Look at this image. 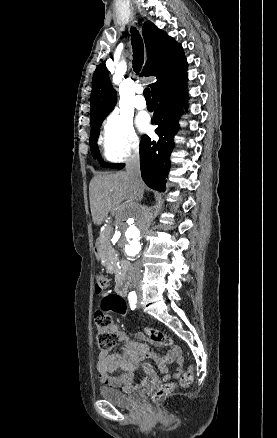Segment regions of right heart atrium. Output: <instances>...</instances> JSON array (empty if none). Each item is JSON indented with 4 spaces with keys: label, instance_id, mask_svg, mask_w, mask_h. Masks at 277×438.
Here are the masks:
<instances>
[{
    "label": "right heart atrium",
    "instance_id": "right-heart-atrium-1",
    "mask_svg": "<svg viewBox=\"0 0 277 438\" xmlns=\"http://www.w3.org/2000/svg\"><path fill=\"white\" fill-rule=\"evenodd\" d=\"M105 134L119 157H129L138 152L140 139L128 114L122 111L113 113L106 123Z\"/></svg>",
    "mask_w": 277,
    "mask_h": 438
}]
</instances>
